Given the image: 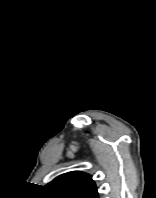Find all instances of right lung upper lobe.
Masks as SVG:
<instances>
[{"mask_svg": "<svg viewBox=\"0 0 156 198\" xmlns=\"http://www.w3.org/2000/svg\"><path fill=\"white\" fill-rule=\"evenodd\" d=\"M47 198H98L91 176L83 172H69L55 178L44 187Z\"/></svg>", "mask_w": 156, "mask_h": 198, "instance_id": "1", "label": "right lung upper lobe"}]
</instances>
